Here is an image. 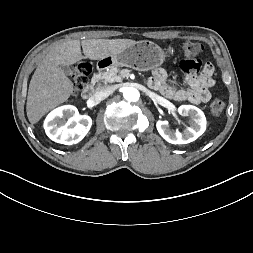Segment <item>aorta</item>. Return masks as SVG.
<instances>
[{"instance_id": "762f6f07", "label": "aorta", "mask_w": 253, "mask_h": 253, "mask_svg": "<svg viewBox=\"0 0 253 253\" xmlns=\"http://www.w3.org/2000/svg\"><path fill=\"white\" fill-rule=\"evenodd\" d=\"M123 96L129 102H136L139 100L140 93L136 88L126 87L124 89Z\"/></svg>"}]
</instances>
